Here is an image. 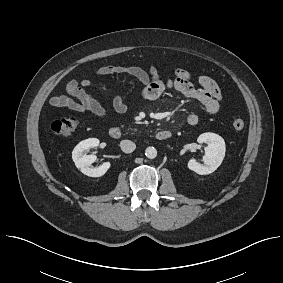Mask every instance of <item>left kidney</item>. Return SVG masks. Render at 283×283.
Segmentation results:
<instances>
[{
  "label": "left kidney",
  "instance_id": "left-kidney-1",
  "mask_svg": "<svg viewBox=\"0 0 283 283\" xmlns=\"http://www.w3.org/2000/svg\"><path fill=\"white\" fill-rule=\"evenodd\" d=\"M197 142L205 143V155L203 157L204 164L198 163L195 159L188 161V168L199 175H208L213 173L222 163L226 146L224 139L218 134L207 132L201 134Z\"/></svg>",
  "mask_w": 283,
  "mask_h": 283
}]
</instances>
